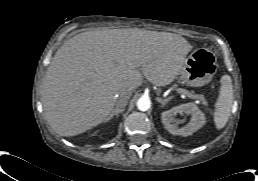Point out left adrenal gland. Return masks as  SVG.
<instances>
[{"label":"left adrenal gland","instance_id":"left-adrenal-gland-1","mask_svg":"<svg viewBox=\"0 0 258 181\" xmlns=\"http://www.w3.org/2000/svg\"><path fill=\"white\" fill-rule=\"evenodd\" d=\"M172 99V97L166 98V99H162L160 97H157L156 100L161 103L162 107H164L170 100Z\"/></svg>","mask_w":258,"mask_h":181}]
</instances>
